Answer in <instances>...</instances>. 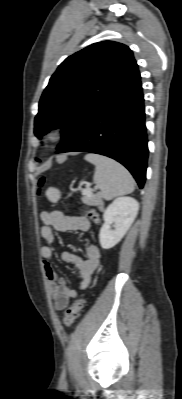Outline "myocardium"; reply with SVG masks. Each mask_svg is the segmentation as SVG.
Wrapping results in <instances>:
<instances>
[{
  "label": "myocardium",
  "instance_id": "f54148a6",
  "mask_svg": "<svg viewBox=\"0 0 182 399\" xmlns=\"http://www.w3.org/2000/svg\"><path fill=\"white\" fill-rule=\"evenodd\" d=\"M63 133V127L61 125H54L46 133V140L54 143L61 139Z\"/></svg>",
  "mask_w": 182,
  "mask_h": 399
}]
</instances>
